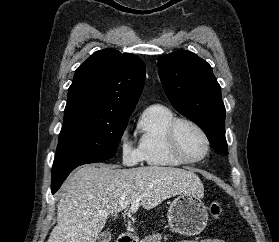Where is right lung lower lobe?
I'll return each instance as SVG.
<instances>
[{
    "mask_svg": "<svg viewBox=\"0 0 279 242\" xmlns=\"http://www.w3.org/2000/svg\"><path fill=\"white\" fill-rule=\"evenodd\" d=\"M69 174L65 175L64 177L60 178L59 180L52 182L51 183V192L52 194H54L55 192H57V190L60 188L61 184L63 183V181L66 179V177Z\"/></svg>",
    "mask_w": 279,
    "mask_h": 242,
    "instance_id": "98d812e1",
    "label": "right lung lower lobe"
}]
</instances>
